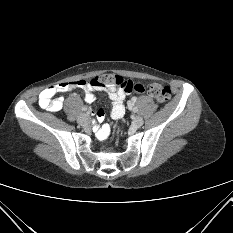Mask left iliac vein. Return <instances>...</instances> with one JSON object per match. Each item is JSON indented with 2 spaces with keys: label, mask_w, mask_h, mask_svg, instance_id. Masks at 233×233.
<instances>
[{
  "label": "left iliac vein",
  "mask_w": 233,
  "mask_h": 233,
  "mask_svg": "<svg viewBox=\"0 0 233 233\" xmlns=\"http://www.w3.org/2000/svg\"><path fill=\"white\" fill-rule=\"evenodd\" d=\"M143 123H144V121H143L142 117H140V116L134 117V119H133L134 126L141 127L143 125Z\"/></svg>",
  "instance_id": "1"
}]
</instances>
